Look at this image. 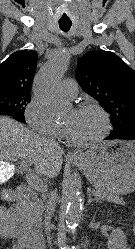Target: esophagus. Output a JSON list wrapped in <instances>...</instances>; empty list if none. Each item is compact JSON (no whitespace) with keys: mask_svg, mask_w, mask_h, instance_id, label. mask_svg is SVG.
<instances>
[{"mask_svg":"<svg viewBox=\"0 0 135 249\" xmlns=\"http://www.w3.org/2000/svg\"><path fill=\"white\" fill-rule=\"evenodd\" d=\"M67 157H68V158H76L77 155H76V153L68 152V153H67Z\"/></svg>","mask_w":135,"mask_h":249,"instance_id":"34e87169","label":"esophagus"}]
</instances>
